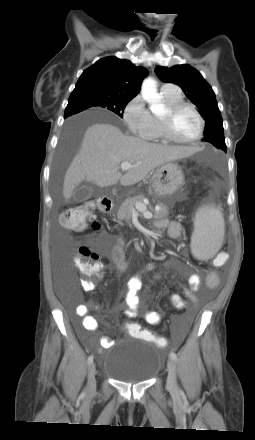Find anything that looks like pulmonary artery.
<instances>
[{
  "label": "pulmonary artery",
  "mask_w": 255,
  "mask_h": 440,
  "mask_svg": "<svg viewBox=\"0 0 255 440\" xmlns=\"http://www.w3.org/2000/svg\"><path fill=\"white\" fill-rule=\"evenodd\" d=\"M161 90H162L163 92H173V91H178V92H180V91L177 90L172 84H163L162 87H161Z\"/></svg>",
  "instance_id": "obj_1"
}]
</instances>
